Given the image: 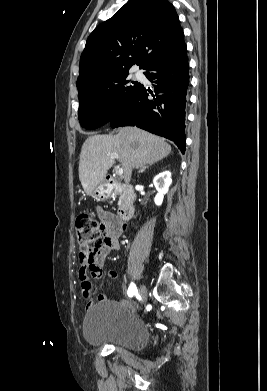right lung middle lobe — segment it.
I'll use <instances>...</instances> for the list:
<instances>
[{
	"label": "right lung middle lobe",
	"mask_w": 267,
	"mask_h": 391,
	"mask_svg": "<svg viewBox=\"0 0 267 391\" xmlns=\"http://www.w3.org/2000/svg\"><path fill=\"white\" fill-rule=\"evenodd\" d=\"M128 71L104 77L79 94V122L86 129L108 123L141 88L127 78Z\"/></svg>",
	"instance_id": "dd1d6c3e"
}]
</instances>
